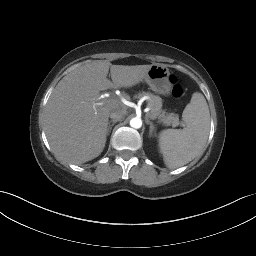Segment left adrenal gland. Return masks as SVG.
Here are the masks:
<instances>
[{
    "label": "left adrenal gland",
    "instance_id": "a2214340",
    "mask_svg": "<svg viewBox=\"0 0 256 256\" xmlns=\"http://www.w3.org/2000/svg\"><path fill=\"white\" fill-rule=\"evenodd\" d=\"M145 122H146V124L150 125V128H149V137H151L153 131L155 130V126H154L153 122L148 119V117H146Z\"/></svg>",
    "mask_w": 256,
    "mask_h": 256
}]
</instances>
